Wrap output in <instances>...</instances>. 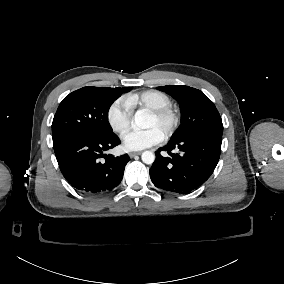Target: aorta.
<instances>
[{
	"label": "aorta",
	"instance_id": "aorta-1",
	"mask_svg": "<svg viewBox=\"0 0 284 284\" xmlns=\"http://www.w3.org/2000/svg\"><path fill=\"white\" fill-rule=\"evenodd\" d=\"M134 122L136 126L144 129L148 127L149 117L144 111H137ZM141 158L145 164H152L155 161V155L151 151H144Z\"/></svg>",
	"mask_w": 284,
	"mask_h": 284
}]
</instances>
